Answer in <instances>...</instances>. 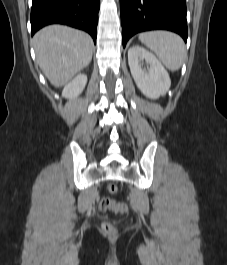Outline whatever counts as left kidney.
<instances>
[{
  "instance_id": "5707ae66",
  "label": "left kidney",
  "mask_w": 227,
  "mask_h": 265,
  "mask_svg": "<svg viewBox=\"0 0 227 265\" xmlns=\"http://www.w3.org/2000/svg\"><path fill=\"white\" fill-rule=\"evenodd\" d=\"M141 61H145L149 65L147 70L142 68ZM128 62L137 87L146 97L158 99L167 93L171 80L155 55L143 47L134 45L128 50Z\"/></svg>"
}]
</instances>
